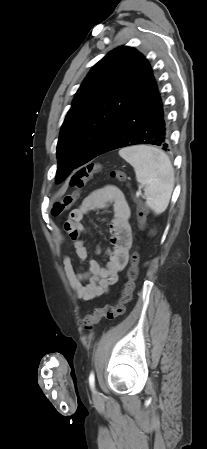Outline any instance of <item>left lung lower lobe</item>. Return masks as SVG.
I'll return each instance as SVG.
<instances>
[{"label":"left lung lower lobe","instance_id":"obj_1","mask_svg":"<svg viewBox=\"0 0 207 449\" xmlns=\"http://www.w3.org/2000/svg\"><path fill=\"white\" fill-rule=\"evenodd\" d=\"M136 144H152L169 150L165 108L154 77L143 96L113 129L95 157Z\"/></svg>","mask_w":207,"mask_h":449}]
</instances>
